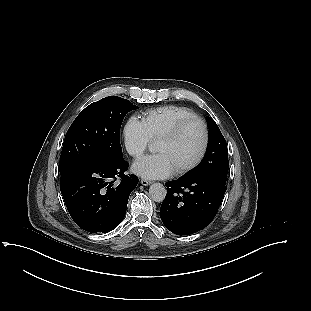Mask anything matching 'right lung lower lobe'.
<instances>
[{
	"mask_svg": "<svg viewBox=\"0 0 311 311\" xmlns=\"http://www.w3.org/2000/svg\"><path fill=\"white\" fill-rule=\"evenodd\" d=\"M128 162L89 161L61 174L60 189L74 222L88 232L108 233L126 214L130 193L139 179L125 175ZM120 178V183H114Z\"/></svg>",
	"mask_w": 311,
	"mask_h": 311,
	"instance_id": "obj_1",
	"label": "right lung lower lobe"
}]
</instances>
